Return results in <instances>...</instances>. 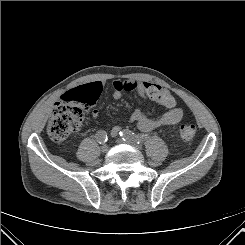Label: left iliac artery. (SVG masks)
<instances>
[{
	"label": "left iliac artery",
	"mask_w": 245,
	"mask_h": 245,
	"mask_svg": "<svg viewBox=\"0 0 245 245\" xmlns=\"http://www.w3.org/2000/svg\"><path fill=\"white\" fill-rule=\"evenodd\" d=\"M119 135L122 137L123 141L131 140L133 142H136L137 144L142 143L147 138V135H136L130 130L120 131Z\"/></svg>",
	"instance_id": "obj_1"
}]
</instances>
